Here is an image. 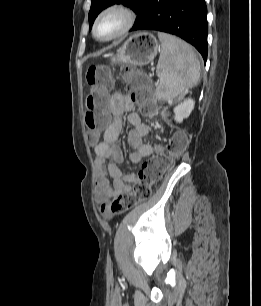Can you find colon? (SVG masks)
<instances>
[{
	"label": "colon",
	"instance_id": "5ec220e1",
	"mask_svg": "<svg viewBox=\"0 0 261 306\" xmlns=\"http://www.w3.org/2000/svg\"><path fill=\"white\" fill-rule=\"evenodd\" d=\"M122 73L131 100L140 104L144 112L149 114L153 103V93L146 77L137 69L129 66L124 67ZM86 80L89 92L86 97L85 124L87 130L96 135L108 125L106 110L108 94L113 86V78L108 67L94 65L87 70ZM186 146V134L182 131L175 132L163 151L157 152L141 164L132 191L117 196L110 204L109 211L112 214H121L130 210L139 202L148 199L152 186L183 154Z\"/></svg>",
	"mask_w": 261,
	"mask_h": 306
}]
</instances>
